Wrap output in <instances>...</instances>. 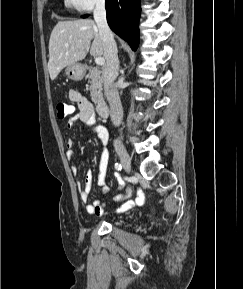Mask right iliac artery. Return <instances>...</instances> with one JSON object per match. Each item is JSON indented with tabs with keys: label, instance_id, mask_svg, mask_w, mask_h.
<instances>
[{
	"label": "right iliac artery",
	"instance_id": "82829eb1",
	"mask_svg": "<svg viewBox=\"0 0 243 289\" xmlns=\"http://www.w3.org/2000/svg\"><path fill=\"white\" fill-rule=\"evenodd\" d=\"M115 169L118 170V171H121V169H122L121 164L115 163Z\"/></svg>",
	"mask_w": 243,
	"mask_h": 289
}]
</instances>
